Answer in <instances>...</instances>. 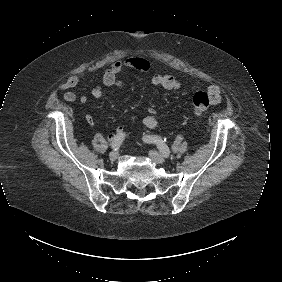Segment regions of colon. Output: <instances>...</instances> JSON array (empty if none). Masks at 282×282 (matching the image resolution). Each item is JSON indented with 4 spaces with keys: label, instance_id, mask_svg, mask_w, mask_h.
Listing matches in <instances>:
<instances>
[{
    "label": "colon",
    "instance_id": "obj_1",
    "mask_svg": "<svg viewBox=\"0 0 282 282\" xmlns=\"http://www.w3.org/2000/svg\"><path fill=\"white\" fill-rule=\"evenodd\" d=\"M215 102L208 93L204 91L196 92L192 98V103L197 113L206 111Z\"/></svg>",
    "mask_w": 282,
    "mask_h": 282
}]
</instances>
